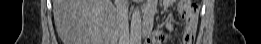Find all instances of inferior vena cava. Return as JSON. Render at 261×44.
I'll return each mask as SVG.
<instances>
[{
    "label": "inferior vena cava",
    "instance_id": "602c4592",
    "mask_svg": "<svg viewBox=\"0 0 261 44\" xmlns=\"http://www.w3.org/2000/svg\"><path fill=\"white\" fill-rule=\"evenodd\" d=\"M118 32L120 39L129 40L128 12L124 5L117 7Z\"/></svg>",
    "mask_w": 261,
    "mask_h": 44
}]
</instances>
